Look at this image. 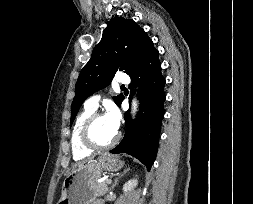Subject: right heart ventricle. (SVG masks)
<instances>
[{
    "label": "right heart ventricle",
    "instance_id": "1",
    "mask_svg": "<svg viewBox=\"0 0 253 204\" xmlns=\"http://www.w3.org/2000/svg\"><path fill=\"white\" fill-rule=\"evenodd\" d=\"M94 112V109L85 106L75 120L71 135V149L75 160H82L89 157L93 152L83 145L81 141V129L87 118Z\"/></svg>",
    "mask_w": 253,
    "mask_h": 204
}]
</instances>
